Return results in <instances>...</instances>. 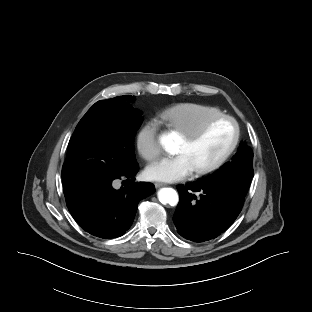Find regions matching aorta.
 Returning <instances> with one entry per match:
<instances>
[{"label":"aorta","instance_id":"aorta-1","mask_svg":"<svg viewBox=\"0 0 312 312\" xmlns=\"http://www.w3.org/2000/svg\"><path fill=\"white\" fill-rule=\"evenodd\" d=\"M161 146L169 150L173 146V141L170 135L163 134L159 137ZM158 199L162 204H169L170 206L177 205L179 197L173 188H162L158 192Z\"/></svg>","mask_w":312,"mask_h":312}]
</instances>
